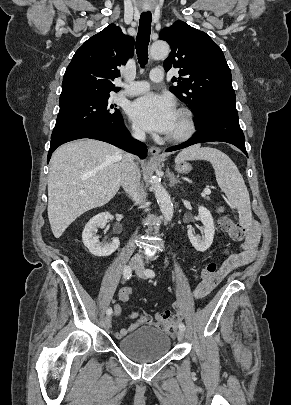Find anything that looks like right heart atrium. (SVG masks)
Listing matches in <instances>:
<instances>
[{"label": "right heart atrium", "mask_w": 291, "mask_h": 405, "mask_svg": "<svg viewBox=\"0 0 291 405\" xmlns=\"http://www.w3.org/2000/svg\"><path fill=\"white\" fill-rule=\"evenodd\" d=\"M132 134L135 137L140 138V137H142L143 132L137 125H132Z\"/></svg>", "instance_id": "obj_1"}]
</instances>
